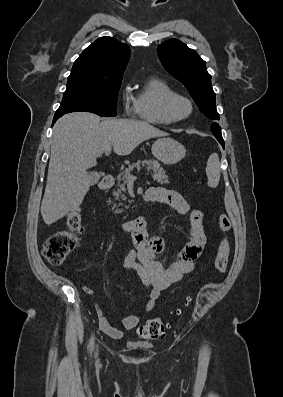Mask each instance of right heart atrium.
I'll list each match as a JSON object with an SVG mask.
<instances>
[{"label":"right heart atrium","instance_id":"obj_1","mask_svg":"<svg viewBox=\"0 0 283 397\" xmlns=\"http://www.w3.org/2000/svg\"><path fill=\"white\" fill-rule=\"evenodd\" d=\"M120 100L125 116L132 117L137 114V106L134 96L128 91L127 88H123L120 92Z\"/></svg>","mask_w":283,"mask_h":397}]
</instances>
